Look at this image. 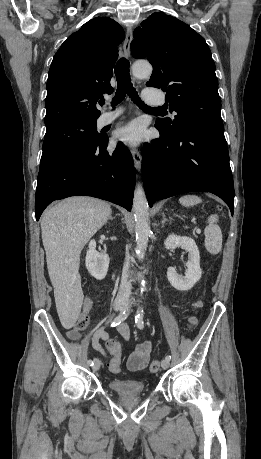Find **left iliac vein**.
Here are the masks:
<instances>
[{"label": "left iliac vein", "mask_w": 261, "mask_h": 459, "mask_svg": "<svg viewBox=\"0 0 261 459\" xmlns=\"http://www.w3.org/2000/svg\"><path fill=\"white\" fill-rule=\"evenodd\" d=\"M169 365H170L169 360H167V359H163L162 360L161 366H162L163 369H168Z\"/></svg>", "instance_id": "1"}]
</instances>
